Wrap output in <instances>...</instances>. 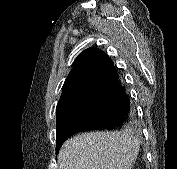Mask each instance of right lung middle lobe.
Returning a JSON list of instances; mask_svg holds the SVG:
<instances>
[{
	"label": "right lung middle lobe",
	"instance_id": "right-lung-middle-lobe-1",
	"mask_svg": "<svg viewBox=\"0 0 177 169\" xmlns=\"http://www.w3.org/2000/svg\"><path fill=\"white\" fill-rule=\"evenodd\" d=\"M89 100V89L85 85L76 93L62 99L57 105V125L64 120L76 116Z\"/></svg>",
	"mask_w": 177,
	"mask_h": 169
}]
</instances>
